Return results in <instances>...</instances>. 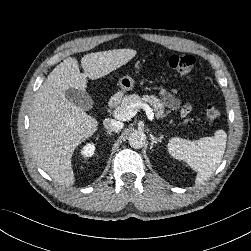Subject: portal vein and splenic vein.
Listing matches in <instances>:
<instances>
[{"instance_id":"1","label":"portal vein and splenic vein","mask_w":251,"mask_h":251,"mask_svg":"<svg viewBox=\"0 0 251 251\" xmlns=\"http://www.w3.org/2000/svg\"><path fill=\"white\" fill-rule=\"evenodd\" d=\"M139 107L143 108L146 111V115L150 121L154 120V113L152 108L144 103H133L124 110L116 109V111L114 112V117L118 120L123 121L130 120L137 114V109Z\"/></svg>"}]
</instances>
